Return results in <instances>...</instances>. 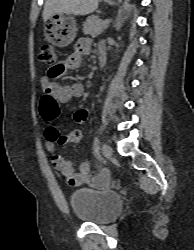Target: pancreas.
<instances>
[{
	"label": "pancreas",
	"mask_w": 194,
	"mask_h": 250,
	"mask_svg": "<svg viewBox=\"0 0 194 250\" xmlns=\"http://www.w3.org/2000/svg\"><path fill=\"white\" fill-rule=\"evenodd\" d=\"M83 26L84 34L97 36L107 28L108 24H104V21L100 20L98 16L93 15L86 19Z\"/></svg>",
	"instance_id": "1"
}]
</instances>
